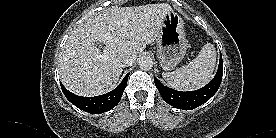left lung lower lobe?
<instances>
[{
    "instance_id": "1",
    "label": "left lung lower lobe",
    "mask_w": 276,
    "mask_h": 138,
    "mask_svg": "<svg viewBox=\"0 0 276 138\" xmlns=\"http://www.w3.org/2000/svg\"><path fill=\"white\" fill-rule=\"evenodd\" d=\"M222 76L223 62L220 53L219 67L215 77L201 89L182 92L164 86L156 77H154V82L166 103L178 109L191 110L207 102L217 92Z\"/></svg>"
}]
</instances>
